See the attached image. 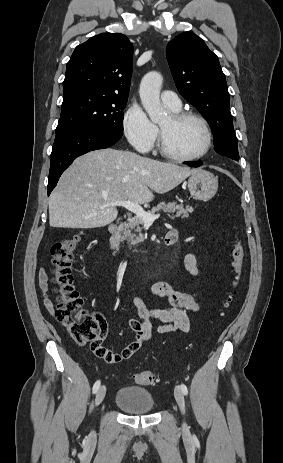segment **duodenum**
Segmentation results:
<instances>
[{
    "label": "duodenum",
    "mask_w": 283,
    "mask_h": 463,
    "mask_svg": "<svg viewBox=\"0 0 283 463\" xmlns=\"http://www.w3.org/2000/svg\"><path fill=\"white\" fill-rule=\"evenodd\" d=\"M110 233V246L114 255H117L120 246V221L112 222L108 225ZM177 240V236L173 232L166 234L164 243L167 246L173 245Z\"/></svg>",
    "instance_id": "duodenum-1"
}]
</instances>
